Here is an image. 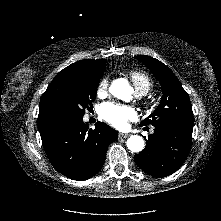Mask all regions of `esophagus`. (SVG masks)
I'll return each mask as SVG.
<instances>
[{
    "label": "esophagus",
    "mask_w": 221,
    "mask_h": 221,
    "mask_svg": "<svg viewBox=\"0 0 221 221\" xmlns=\"http://www.w3.org/2000/svg\"><path fill=\"white\" fill-rule=\"evenodd\" d=\"M129 137V134H126V133H119V138H127Z\"/></svg>",
    "instance_id": "1"
}]
</instances>
